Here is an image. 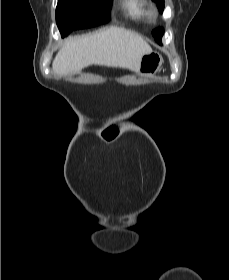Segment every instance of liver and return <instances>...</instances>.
Masks as SVG:
<instances>
[{"mask_svg":"<svg viewBox=\"0 0 229 280\" xmlns=\"http://www.w3.org/2000/svg\"><path fill=\"white\" fill-rule=\"evenodd\" d=\"M152 52L141 35L119 27L67 39L52 63L58 76L80 73L85 67L100 65L138 72L143 55Z\"/></svg>","mask_w":229,"mask_h":280,"instance_id":"1","label":"liver"}]
</instances>
